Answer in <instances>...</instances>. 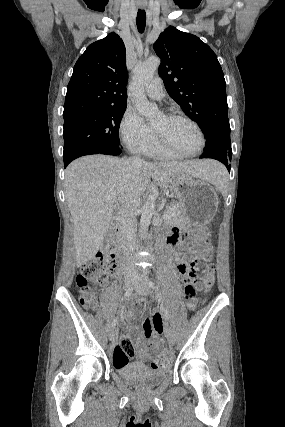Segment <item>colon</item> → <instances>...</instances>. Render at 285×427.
Returning a JSON list of instances; mask_svg holds the SVG:
<instances>
[{
  "label": "colon",
  "instance_id": "colon-1",
  "mask_svg": "<svg viewBox=\"0 0 285 427\" xmlns=\"http://www.w3.org/2000/svg\"><path fill=\"white\" fill-rule=\"evenodd\" d=\"M198 186H202L199 184ZM186 243L197 251H207L209 248V239L206 234L199 230H190L186 233ZM110 261L104 257L92 259L80 266L76 282L79 289V298L83 306L89 309H95L96 295L100 287L105 286L108 280ZM203 268L204 279L197 278V282L191 283L188 278L186 287V298L188 301L195 302L196 295L199 291H209L213 285L215 268L213 264L203 267V264L192 261L190 264H183L181 271L189 275L191 270ZM118 350L126 356L135 353L133 342L128 338H123L118 342ZM169 363L167 354L160 353L153 360L154 368L166 367Z\"/></svg>",
  "mask_w": 285,
  "mask_h": 427
}]
</instances>
